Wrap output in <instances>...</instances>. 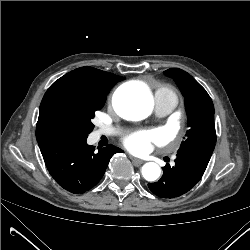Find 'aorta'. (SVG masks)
<instances>
[{
	"instance_id": "762f6f07",
	"label": "aorta",
	"mask_w": 250,
	"mask_h": 250,
	"mask_svg": "<svg viewBox=\"0 0 250 250\" xmlns=\"http://www.w3.org/2000/svg\"><path fill=\"white\" fill-rule=\"evenodd\" d=\"M113 102L117 113L126 119L142 120L150 114L152 107L149 89L137 82L122 85L116 91ZM160 173L159 165L154 162H148L142 167V175L147 181H155Z\"/></svg>"
}]
</instances>
